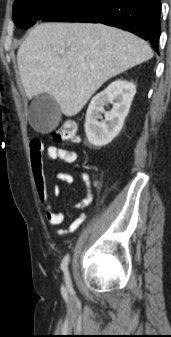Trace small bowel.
<instances>
[{
  "instance_id": "small-bowel-1",
  "label": "small bowel",
  "mask_w": 171,
  "mask_h": 337,
  "mask_svg": "<svg viewBox=\"0 0 171 337\" xmlns=\"http://www.w3.org/2000/svg\"><path fill=\"white\" fill-rule=\"evenodd\" d=\"M31 146V168L38 199L45 209V218L48 223L53 226H60L64 223L65 216L61 210L56 208L51 200L45 176V160H60L65 163L72 164L78 160V154L75 150L72 149L50 145L45 149L44 155V147L38 139H33L31 141ZM81 179L86 186V195L75 205V208L78 210L77 216L66 229L58 230L59 235H66L75 232L86 218L85 209L93 201V194L91 190L92 182L89 175L85 172H82ZM56 180L61 185H70L73 183V176L67 172H58L56 174ZM60 193L61 186H54L53 194L57 196Z\"/></svg>"
}]
</instances>
